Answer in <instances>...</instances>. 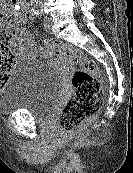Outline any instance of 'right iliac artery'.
<instances>
[{
  "label": "right iliac artery",
  "instance_id": "obj_1",
  "mask_svg": "<svg viewBox=\"0 0 133 173\" xmlns=\"http://www.w3.org/2000/svg\"><path fill=\"white\" fill-rule=\"evenodd\" d=\"M39 14H40L39 12H36L34 9H32V16L39 15Z\"/></svg>",
  "mask_w": 133,
  "mask_h": 173
}]
</instances>
